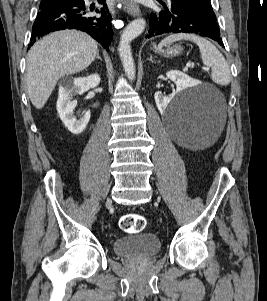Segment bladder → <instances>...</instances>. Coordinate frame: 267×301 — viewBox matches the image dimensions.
<instances>
[{
	"mask_svg": "<svg viewBox=\"0 0 267 301\" xmlns=\"http://www.w3.org/2000/svg\"><path fill=\"white\" fill-rule=\"evenodd\" d=\"M161 241L152 233H139L122 236L112 243L113 252L119 256L146 258L156 255L161 250Z\"/></svg>",
	"mask_w": 267,
	"mask_h": 301,
	"instance_id": "31cf9c89",
	"label": "bladder"
}]
</instances>
